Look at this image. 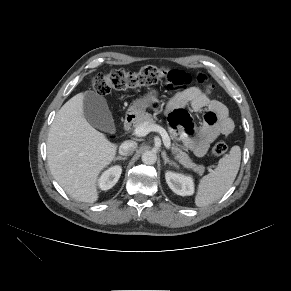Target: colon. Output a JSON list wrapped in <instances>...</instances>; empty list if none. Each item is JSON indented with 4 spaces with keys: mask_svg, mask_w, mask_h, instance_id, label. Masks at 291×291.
<instances>
[{
    "mask_svg": "<svg viewBox=\"0 0 291 291\" xmlns=\"http://www.w3.org/2000/svg\"><path fill=\"white\" fill-rule=\"evenodd\" d=\"M160 81H166L173 86H179L189 83V77L179 71H172L167 68L155 66H144L137 72L126 70H114L109 73L97 74L92 81L93 89L100 95H107L112 91H123L142 86H151ZM199 84L203 85L207 93L214 90L212 84L205 83V77L200 75L197 78ZM227 151V145L224 142H217L212 147L214 156H222Z\"/></svg>",
    "mask_w": 291,
    "mask_h": 291,
    "instance_id": "colon-1",
    "label": "colon"
}]
</instances>
